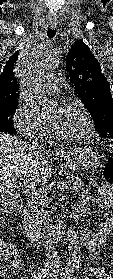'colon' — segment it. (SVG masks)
<instances>
[{
	"instance_id": "obj_1",
	"label": "colon",
	"mask_w": 113,
	"mask_h": 279,
	"mask_svg": "<svg viewBox=\"0 0 113 279\" xmlns=\"http://www.w3.org/2000/svg\"><path fill=\"white\" fill-rule=\"evenodd\" d=\"M102 176L104 180L103 187L108 193H113V157L108 163L103 166ZM18 257L16 251H7L5 247L0 246V277L6 271L7 263H13Z\"/></svg>"
}]
</instances>
